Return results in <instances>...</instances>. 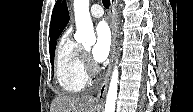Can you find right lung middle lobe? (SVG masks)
Returning a JSON list of instances; mask_svg holds the SVG:
<instances>
[{"mask_svg": "<svg viewBox=\"0 0 193 112\" xmlns=\"http://www.w3.org/2000/svg\"><path fill=\"white\" fill-rule=\"evenodd\" d=\"M55 47L56 45L50 50V58H51V65H52V70L54 69V55H55Z\"/></svg>", "mask_w": 193, "mask_h": 112, "instance_id": "right-lung-middle-lobe-1", "label": "right lung middle lobe"}]
</instances>
